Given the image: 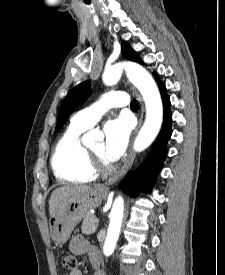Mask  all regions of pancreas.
I'll return each instance as SVG.
<instances>
[{"instance_id": "pancreas-1", "label": "pancreas", "mask_w": 225, "mask_h": 275, "mask_svg": "<svg viewBox=\"0 0 225 275\" xmlns=\"http://www.w3.org/2000/svg\"><path fill=\"white\" fill-rule=\"evenodd\" d=\"M95 215L87 214L82 222L81 231L83 234L90 235L95 233L97 229V223L94 222Z\"/></svg>"}]
</instances>
